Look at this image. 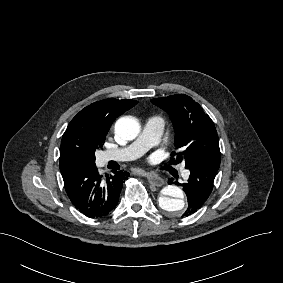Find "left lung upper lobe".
Segmentation results:
<instances>
[{
	"instance_id": "1",
	"label": "left lung upper lobe",
	"mask_w": 283,
	"mask_h": 283,
	"mask_svg": "<svg viewBox=\"0 0 283 283\" xmlns=\"http://www.w3.org/2000/svg\"><path fill=\"white\" fill-rule=\"evenodd\" d=\"M151 102L165 110L173 122L175 147L181 152H172V163L183 160L187 169L199 163L220 164L221 153L214 123L197 102L185 94L155 98Z\"/></svg>"
}]
</instances>
